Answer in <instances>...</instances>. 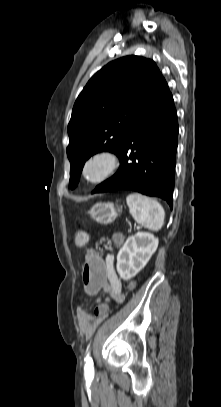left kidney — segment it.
Returning <instances> with one entry per match:
<instances>
[{"label":"left kidney","instance_id":"1","mask_svg":"<svg viewBox=\"0 0 221 407\" xmlns=\"http://www.w3.org/2000/svg\"><path fill=\"white\" fill-rule=\"evenodd\" d=\"M158 247V238L147 232L130 236L117 255L116 269L125 281L136 276L148 263Z\"/></svg>","mask_w":221,"mask_h":407}]
</instances>
